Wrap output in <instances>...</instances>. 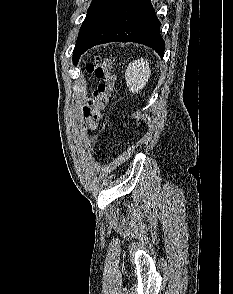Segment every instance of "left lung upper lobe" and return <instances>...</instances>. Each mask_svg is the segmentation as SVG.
Listing matches in <instances>:
<instances>
[{
    "instance_id": "obj_1",
    "label": "left lung upper lobe",
    "mask_w": 233,
    "mask_h": 294,
    "mask_svg": "<svg viewBox=\"0 0 233 294\" xmlns=\"http://www.w3.org/2000/svg\"><path fill=\"white\" fill-rule=\"evenodd\" d=\"M112 0H93L89 9L87 16L80 28V32L77 38V42L73 52V63L76 64L79 60L80 51L83 46L84 41L88 37L92 28L109 5Z\"/></svg>"
}]
</instances>
